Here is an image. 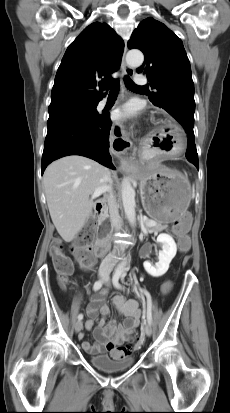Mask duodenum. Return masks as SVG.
<instances>
[{"label":"duodenum","instance_id":"obj_1","mask_svg":"<svg viewBox=\"0 0 230 413\" xmlns=\"http://www.w3.org/2000/svg\"><path fill=\"white\" fill-rule=\"evenodd\" d=\"M95 211L98 220L100 221L99 238L96 245L93 248L95 256H100L103 252L105 236L109 227L107 222V213L105 209L104 199H98L95 203Z\"/></svg>","mask_w":230,"mask_h":413}]
</instances>
